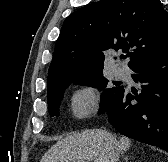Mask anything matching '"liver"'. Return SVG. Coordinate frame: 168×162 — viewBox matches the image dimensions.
Segmentation results:
<instances>
[{"instance_id": "6515ba94", "label": "liver", "mask_w": 168, "mask_h": 162, "mask_svg": "<svg viewBox=\"0 0 168 162\" xmlns=\"http://www.w3.org/2000/svg\"><path fill=\"white\" fill-rule=\"evenodd\" d=\"M116 137L102 129H91L69 135L54 144L40 162H110L111 142ZM117 142L121 153L130 146L129 138L122 136Z\"/></svg>"}]
</instances>
